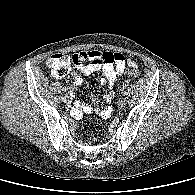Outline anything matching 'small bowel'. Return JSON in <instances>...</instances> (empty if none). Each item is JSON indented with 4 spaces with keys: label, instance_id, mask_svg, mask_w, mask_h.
Returning <instances> with one entry per match:
<instances>
[{
    "label": "small bowel",
    "instance_id": "obj_1",
    "mask_svg": "<svg viewBox=\"0 0 195 195\" xmlns=\"http://www.w3.org/2000/svg\"><path fill=\"white\" fill-rule=\"evenodd\" d=\"M76 71L72 74L71 88L74 90L83 84L82 75L102 72L99 84L105 88L102 96L103 107H99V99L93 96L89 103L76 102L79 111L90 114L96 113L103 118H108L112 113L111 103L115 97V83L124 71L126 65L133 64V60L126 59L121 53L103 52L98 50L81 51L71 56ZM89 61L88 64H84Z\"/></svg>",
    "mask_w": 195,
    "mask_h": 195
}]
</instances>
